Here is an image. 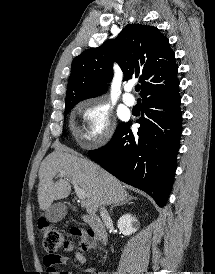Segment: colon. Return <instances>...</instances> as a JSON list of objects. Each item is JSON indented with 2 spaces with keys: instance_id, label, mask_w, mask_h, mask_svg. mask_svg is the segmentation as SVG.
Returning a JSON list of instances; mask_svg holds the SVG:
<instances>
[{
  "instance_id": "5ec220e1",
  "label": "colon",
  "mask_w": 215,
  "mask_h": 274,
  "mask_svg": "<svg viewBox=\"0 0 215 274\" xmlns=\"http://www.w3.org/2000/svg\"><path fill=\"white\" fill-rule=\"evenodd\" d=\"M38 226L43 248L48 254H55V252L62 247L68 250L72 249V243L66 240L62 233L45 218L41 217L39 219ZM72 234L80 238L79 246L82 249L87 250L95 247L96 243L92 231H83L76 228L72 231Z\"/></svg>"
}]
</instances>
